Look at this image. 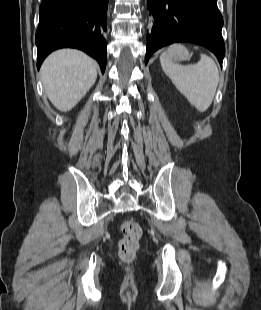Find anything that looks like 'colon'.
Segmentation results:
<instances>
[{
    "label": "colon",
    "mask_w": 261,
    "mask_h": 310,
    "mask_svg": "<svg viewBox=\"0 0 261 310\" xmlns=\"http://www.w3.org/2000/svg\"><path fill=\"white\" fill-rule=\"evenodd\" d=\"M120 230L122 238L118 245V255L122 261L131 262L139 249L142 228L136 221L127 219L121 223Z\"/></svg>",
    "instance_id": "5ec220e1"
}]
</instances>
